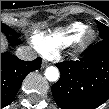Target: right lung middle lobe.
<instances>
[{
  "label": "right lung middle lobe",
  "instance_id": "dd1d6c3e",
  "mask_svg": "<svg viewBox=\"0 0 109 109\" xmlns=\"http://www.w3.org/2000/svg\"><path fill=\"white\" fill-rule=\"evenodd\" d=\"M1 32L5 33L6 35H10L13 37H19L20 35L13 30L12 28L8 27L7 25L1 23Z\"/></svg>",
  "mask_w": 109,
  "mask_h": 109
}]
</instances>
